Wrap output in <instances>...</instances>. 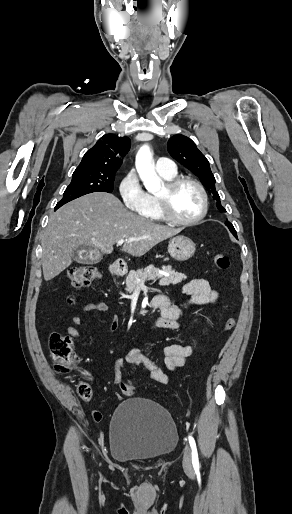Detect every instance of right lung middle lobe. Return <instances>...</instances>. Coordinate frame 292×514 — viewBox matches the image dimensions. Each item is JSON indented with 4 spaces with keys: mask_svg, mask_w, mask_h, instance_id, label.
I'll return each mask as SVG.
<instances>
[{
    "mask_svg": "<svg viewBox=\"0 0 292 514\" xmlns=\"http://www.w3.org/2000/svg\"><path fill=\"white\" fill-rule=\"evenodd\" d=\"M114 178L115 176L73 174L70 185L66 188L63 198L57 203L55 209L88 193H111L113 191Z\"/></svg>",
    "mask_w": 292,
    "mask_h": 514,
    "instance_id": "dd1d6c3e",
    "label": "right lung middle lobe"
}]
</instances>
